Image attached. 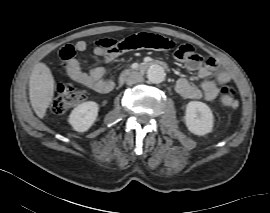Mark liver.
Returning a JSON list of instances; mask_svg holds the SVG:
<instances>
[{
	"mask_svg": "<svg viewBox=\"0 0 270 213\" xmlns=\"http://www.w3.org/2000/svg\"><path fill=\"white\" fill-rule=\"evenodd\" d=\"M55 81L51 70L44 63H37L29 79V98L31 106L39 118H43L52 102Z\"/></svg>",
	"mask_w": 270,
	"mask_h": 213,
	"instance_id": "liver-1",
	"label": "liver"
}]
</instances>
